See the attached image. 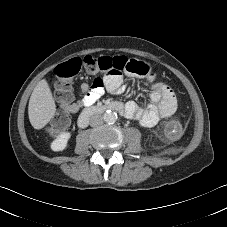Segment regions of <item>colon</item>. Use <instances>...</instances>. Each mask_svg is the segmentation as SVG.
Here are the masks:
<instances>
[{
	"label": "colon",
	"mask_w": 227,
	"mask_h": 227,
	"mask_svg": "<svg viewBox=\"0 0 227 227\" xmlns=\"http://www.w3.org/2000/svg\"><path fill=\"white\" fill-rule=\"evenodd\" d=\"M85 68L91 74H105L115 76L121 73H133L140 76H148L152 73L150 65L126 56H92L73 58L68 62L57 66L53 74L59 82V94L67 105L71 99L72 81ZM94 87L102 85L100 78L93 82ZM69 121L68 111H64L53 123L54 130L64 128Z\"/></svg>",
	"instance_id": "5ec220e1"
}]
</instances>
